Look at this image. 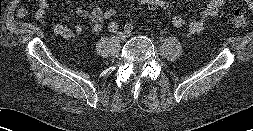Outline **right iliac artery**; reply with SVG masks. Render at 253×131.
Segmentation results:
<instances>
[{"mask_svg": "<svg viewBox=\"0 0 253 131\" xmlns=\"http://www.w3.org/2000/svg\"><path fill=\"white\" fill-rule=\"evenodd\" d=\"M119 25L116 22H112L109 24L108 29L110 32L115 33L118 30Z\"/></svg>", "mask_w": 253, "mask_h": 131, "instance_id": "obj_1", "label": "right iliac artery"}]
</instances>
